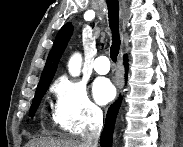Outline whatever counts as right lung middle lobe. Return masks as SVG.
I'll use <instances>...</instances> for the list:
<instances>
[{
	"mask_svg": "<svg viewBox=\"0 0 183 147\" xmlns=\"http://www.w3.org/2000/svg\"><path fill=\"white\" fill-rule=\"evenodd\" d=\"M48 87H45V88H41V89H37L36 90V94H35V97L33 99V103L31 105V108H30V113L29 115L32 117L34 116L40 102H41V99L42 97L45 95L46 91H47Z\"/></svg>",
	"mask_w": 183,
	"mask_h": 147,
	"instance_id": "obj_1",
	"label": "right lung middle lobe"
}]
</instances>
